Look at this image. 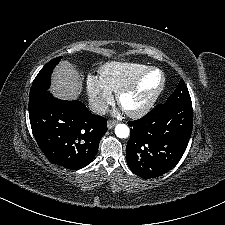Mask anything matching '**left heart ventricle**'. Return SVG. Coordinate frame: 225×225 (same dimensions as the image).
<instances>
[{
    "instance_id": "b2bd125f",
    "label": "left heart ventricle",
    "mask_w": 225,
    "mask_h": 225,
    "mask_svg": "<svg viewBox=\"0 0 225 225\" xmlns=\"http://www.w3.org/2000/svg\"><path fill=\"white\" fill-rule=\"evenodd\" d=\"M160 83V76L158 73H149L137 92L126 96L122 101L123 108L127 110H136L140 108L146 100L154 93Z\"/></svg>"
}]
</instances>
